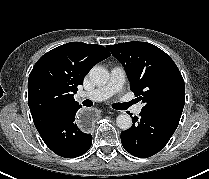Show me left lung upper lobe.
<instances>
[{"label": "left lung upper lobe", "instance_id": "1", "mask_svg": "<svg viewBox=\"0 0 209 179\" xmlns=\"http://www.w3.org/2000/svg\"><path fill=\"white\" fill-rule=\"evenodd\" d=\"M127 73L130 89L142 110L182 114L185 103L183 77L164 51L147 42L108 45Z\"/></svg>", "mask_w": 209, "mask_h": 179}]
</instances>
